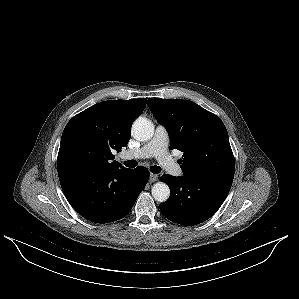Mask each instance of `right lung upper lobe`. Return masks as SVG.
I'll list each match as a JSON object with an SVG mask.
<instances>
[{
	"label": "right lung upper lobe",
	"mask_w": 299,
	"mask_h": 299,
	"mask_svg": "<svg viewBox=\"0 0 299 299\" xmlns=\"http://www.w3.org/2000/svg\"><path fill=\"white\" fill-rule=\"evenodd\" d=\"M146 99L109 100L74 116L66 125L57 158L58 174H91L124 168L114 161L131 137V125Z\"/></svg>",
	"instance_id": "right-lung-upper-lobe-1"
}]
</instances>
